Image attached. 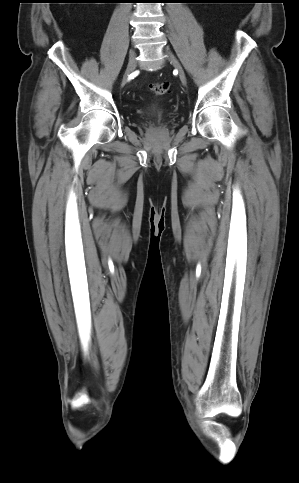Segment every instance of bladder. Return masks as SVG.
Here are the masks:
<instances>
[{"label":"bladder","mask_w":299,"mask_h":483,"mask_svg":"<svg viewBox=\"0 0 299 483\" xmlns=\"http://www.w3.org/2000/svg\"><path fill=\"white\" fill-rule=\"evenodd\" d=\"M151 111H155V109H154V108H152V109H151Z\"/></svg>","instance_id":"bladder-1"}]
</instances>
